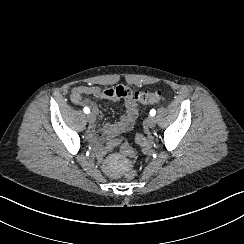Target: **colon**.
I'll return each instance as SVG.
<instances>
[{
  "label": "colon",
  "instance_id": "5ec220e1",
  "mask_svg": "<svg viewBox=\"0 0 244 244\" xmlns=\"http://www.w3.org/2000/svg\"><path fill=\"white\" fill-rule=\"evenodd\" d=\"M104 93L106 97L113 100L131 96L142 105H157L161 101V92L158 89L140 91L128 86L117 85L107 88ZM132 136L136 139L137 145L140 148L148 149L151 146V141L143 134L141 129H134ZM118 146L121 147V152L125 156L129 155L132 158H136L140 154L139 149L132 147L125 136L109 139L106 148L108 151L114 152ZM126 175L130 181H135L138 178V173L135 170H130Z\"/></svg>",
  "mask_w": 244,
  "mask_h": 244
}]
</instances>
